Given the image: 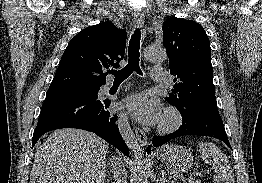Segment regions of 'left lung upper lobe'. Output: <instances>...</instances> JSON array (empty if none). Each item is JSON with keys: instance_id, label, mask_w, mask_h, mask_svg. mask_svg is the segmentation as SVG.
<instances>
[{"instance_id": "1", "label": "left lung upper lobe", "mask_w": 262, "mask_h": 183, "mask_svg": "<svg viewBox=\"0 0 262 183\" xmlns=\"http://www.w3.org/2000/svg\"><path fill=\"white\" fill-rule=\"evenodd\" d=\"M170 73L177 76L165 98L182 114L216 111L211 48L203 27L192 20L170 17L162 26Z\"/></svg>"}]
</instances>
